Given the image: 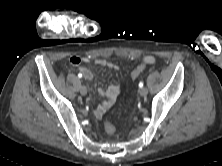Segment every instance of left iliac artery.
<instances>
[{
	"mask_svg": "<svg viewBox=\"0 0 222 166\" xmlns=\"http://www.w3.org/2000/svg\"><path fill=\"white\" fill-rule=\"evenodd\" d=\"M139 87L142 88L143 87V82L139 83Z\"/></svg>",
	"mask_w": 222,
	"mask_h": 166,
	"instance_id": "44dca946",
	"label": "left iliac artery"
}]
</instances>
